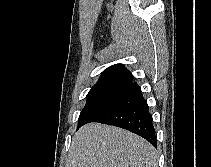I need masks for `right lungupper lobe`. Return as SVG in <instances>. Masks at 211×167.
Instances as JSON below:
<instances>
[{
    "label": "right lung upper lobe",
    "instance_id": "obj_1",
    "mask_svg": "<svg viewBox=\"0 0 211 167\" xmlns=\"http://www.w3.org/2000/svg\"><path fill=\"white\" fill-rule=\"evenodd\" d=\"M133 76L123 64H115L103 71L98 81L104 80H119L132 81Z\"/></svg>",
    "mask_w": 211,
    "mask_h": 167
}]
</instances>
